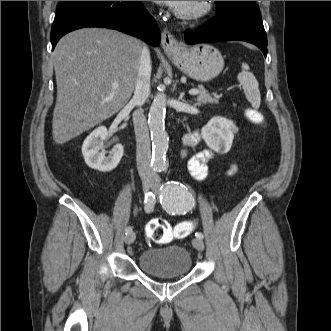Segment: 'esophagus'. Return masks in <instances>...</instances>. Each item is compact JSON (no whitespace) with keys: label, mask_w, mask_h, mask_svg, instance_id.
<instances>
[{"label":"esophagus","mask_w":331,"mask_h":331,"mask_svg":"<svg viewBox=\"0 0 331 331\" xmlns=\"http://www.w3.org/2000/svg\"><path fill=\"white\" fill-rule=\"evenodd\" d=\"M161 45L165 53L173 54L180 49V44L176 38L167 29H164L161 34Z\"/></svg>","instance_id":"1"}]
</instances>
